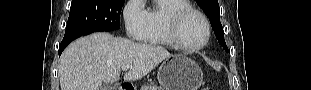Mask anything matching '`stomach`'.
I'll list each match as a JSON object with an SVG mask.
<instances>
[{"label":"stomach","mask_w":311,"mask_h":90,"mask_svg":"<svg viewBox=\"0 0 311 90\" xmlns=\"http://www.w3.org/2000/svg\"><path fill=\"white\" fill-rule=\"evenodd\" d=\"M157 78L163 90H198L203 82L199 66L181 54L166 58L158 69Z\"/></svg>","instance_id":"0dacf381"}]
</instances>
